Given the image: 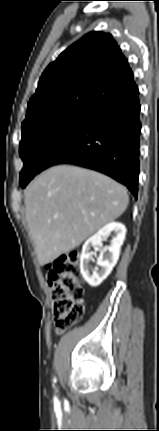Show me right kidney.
<instances>
[{
	"label": "right kidney",
	"mask_w": 159,
	"mask_h": 431,
	"mask_svg": "<svg viewBox=\"0 0 159 431\" xmlns=\"http://www.w3.org/2000/svg\"><path fill=\"white\" fill-rule=\"evenodd\" d=\"M110 235L112 236L110 245L101 248L102 242ZM125 235V226L119 222H112L100 229L83 245L80 257V271L91 287L99 286L111 273L119 259L120 248L124 242ZM91 248L100 249V254L97 258L99 268H96L94 271H92L90 265L93 255Z\"/></svg>",
	"instance_id": "obj_1"
}]
</instances>
